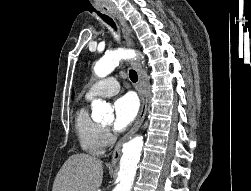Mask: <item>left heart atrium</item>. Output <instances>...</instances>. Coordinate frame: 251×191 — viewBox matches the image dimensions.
Returning <instances> with one entry per match:
<instances>
[{
  "label": "left heart atrium",
  "mask_w": 251,
  "mask_h": 191,
  "mask_svg": "<svg viewBox=\"0 0 251 191\" xmlns=\"http://www.w3.org/2000/svg\"><path fill=\"white\" fill-rule=\"evenodd\" d=\"M114 123L116 132L124 131L136 118L138 104L131 96H124L115 101L113 105Z\"/></svg>",
  "instance_id": "39dd6f15"
}]
</instances>
